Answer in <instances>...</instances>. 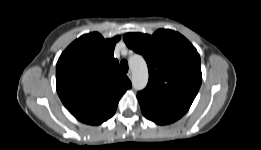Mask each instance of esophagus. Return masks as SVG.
I'll list each match as a JSON object with an SVG mask.
<instances>
[{
    "instance_id": "esophagus-1",
    "label": "esophagus",
    "mask_w": 261,
    "mask_h": 150,
    "mask_svg": "<svg viewBox=\"0 0 261 150\" xmlns=\"http://www.w3.org/2000/svg\"><path fill=\"white\" fill-rule=\"evenodd\" d=\"M132 75H133V74H132V71H129V72L127 73V76H128L129 79L132 78Z\"/></svg>"
}]
</instances>
